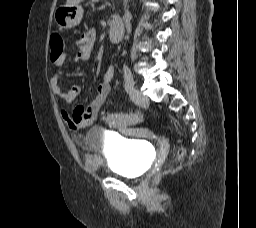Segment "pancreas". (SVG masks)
<instances>
[{
  "label": "pancreas",
  "mask_w": 256,
  "mask_h": 228,
  "mask_svg": "<svg viewBox=\"0 0 256 228\" xmlns=\"http://www.w3.org/2000/svg\"><path fill=\"white\" fill-rule=\"evenodd\" d=\"M99 0H92V2H98Z\"/></svg>",
  "instance_id": "pancreas-1"
}]
</instances>
